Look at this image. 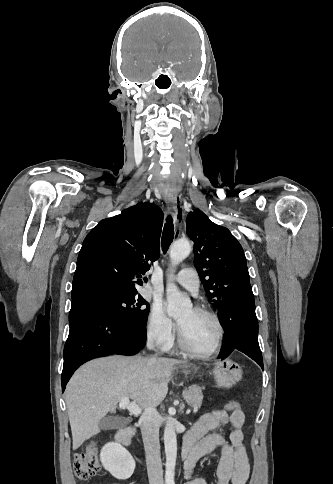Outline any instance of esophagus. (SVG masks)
<instances>
[{
    "label": "esophagus",
    "instance_id": "obj_1",
    "mask_svg": "<svg viewBox=\"0 0 333 484\" xmlns=\"http://www.w3.org/2000/svg\"><path fill=\"white\" fill-rule=\"evenodd\" d=\"M164 199H165L167 207H168L169 211L171 212L174 220L176 222H179L180 212H179V208H178V205H177V197L169 194V195H165Z\"/></svg>",
    "mask_w": 333,
    "mask_h": 484
}]
</instances>
